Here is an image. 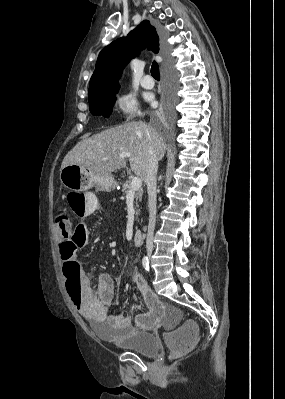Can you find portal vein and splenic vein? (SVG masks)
Returning <instances> with one entry per match:
<instances>
[{
	"label": "portal vein and splenic vein",
	"mask_w": 285,
	"mask_h": 399,
	"mask_svg": "<svg viewBox=\"0 0 285 399\" xmlns=\"http://www.w3.org/2000/svg\"><path fill=\"white\" fill-rule=\"evenodd\" d=\"M121 158H130V154L126 152L120 153ZM142 186V180L139 177H133L131 181V190L129 193L135 192L136 190L140 189Z\"/></svg>",
	"instance_id": "1"
}]
</instances>
